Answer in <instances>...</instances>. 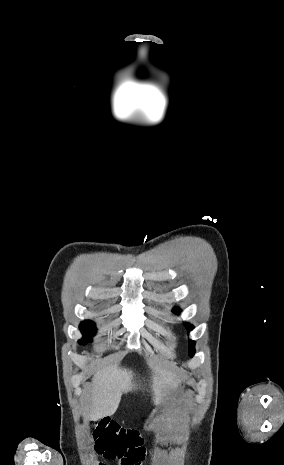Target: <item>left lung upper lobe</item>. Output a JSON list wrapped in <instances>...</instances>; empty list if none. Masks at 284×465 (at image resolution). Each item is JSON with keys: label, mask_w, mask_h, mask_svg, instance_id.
<instances>
[{"label": "left lung upper lobe", "mask_w": 284, "mask_h": 465, "mask_svg": "<svg viewBox=\"0 0 284 465\" xmlns=\"http://www.w3.org/2000/svg\"><path fill=\"white\" fill-rule=\"evenodd\" d=\"M172 311L176 314L180 313V309L176 307ZM185 327L187 328L188 331H191L193 329V326H191L189 323H185ZM194 346H195V341L189 340V356L190 357H192L195 353Z\"/></svg>", "instance_id": "obj_1"}]
</instances>
